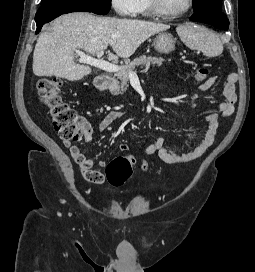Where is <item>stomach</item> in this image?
Returning <instances> with one entry per match:
<instances>
[{
	"label": "stomach",
	"instance_id": "0dacf381",
	"mask_svg": "<svg viewBox=\"0 0 255 272\" xmlns=\"http://www.w3.org/2000/svg\"><path fill=\"white\" fill-rule=\"evenodd\" d=\"M176 39L167 32H161L156 35L153 45L156 51L162 54H168L175 49Z\"/></svg>",
	"mask_w": 255,
	"mask_h": 272
}]
</instances>
